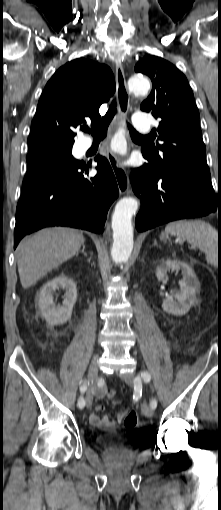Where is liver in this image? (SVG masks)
Wrapping results in <instances>:
<instances>
[{
    "label": "liver",
    "mask_w": 221,
    "mask_h": 510,
    "mask_svg": "<svg viewBox=\"0 0 221 510\" xmlns=\"http://www.w3.org/2000/svg\"><path fill=\"white\" fill-rule=\"evenodd\" d=\"M84 241L80 231L65 227L45 228L22 240L17 249L22 287H31L48 272L72 258Z\"/></svg>",
    "instance_id": "6515ba94"
}]
</instances>
